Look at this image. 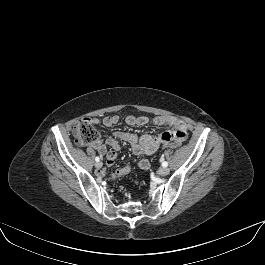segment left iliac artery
Instances as JSON below:
<instances>
[{
	"label": "left iliac artery",
	"instance_id": "left-iliac-artery-1",
	"mask_svg": "<svg viewBox=\"0 0 265 265\" xmlns=\"http://www.w3.org/2000/svg\"><path fill=\"white\" fill-rule=\"evenodd\" d=\"M160 160L162 161V166L163 167H167L168 166V162L164 161V158L163 157H161Z\"/></svg>",
	"mask_w": 265,
	"mask_h": 265
}]
</instances>
